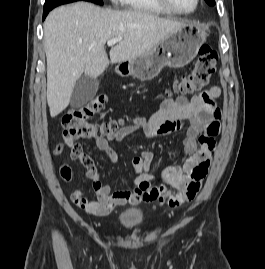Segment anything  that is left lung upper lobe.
Masks as SVG:
<instances>
[{"label":"left lung upper lobe","mask_w":265,"mask_h":269,"mask_svg":"<svg viewBox=\"0 0 265 269\" xmlns=\"http://www.w3.org/2000/svg\"><path fill=\"white\" fill-rule=\"evenodd\" d=\"M208 5L213 6L215 5V0H205Z\"/></svg>","instance_id":"obj_1"}]
</instances>
